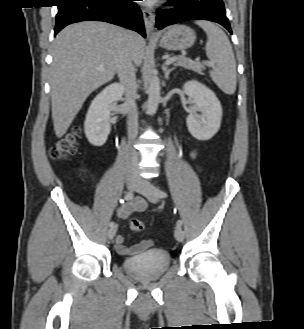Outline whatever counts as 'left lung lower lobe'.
<instances>
[{
	"mask_svg": "<svg viewBox=\"0 0 304 329\" xmlns=\"http://www.w3.org/2000/svg\"><path fill=\"white\" fill-rule=\"evenodd\" d=\"M171 4H176V7L157 11L158 29L187 20L202 19L217 22L232 34L222 0H170L165 5Z\"/></svg>",
	"mask_w": 304,
	"mask_h": 329,
	"instance_id": "obj_1",
	"label": "left lung lower lobe"
}]
</instances>
